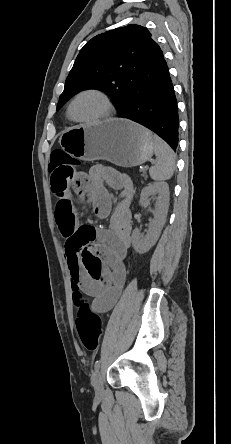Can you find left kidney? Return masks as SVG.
<instances>
[{
    "instance_id": "left-kidney-1",
    "label": "left kidney",
    "mask_w": 231,
    "mask_h": 444,
    "mask_svg": "<svg viewBox=\"0 0 231 444\" xmlns=\"http://www.w3.org/2000/svg\"><path fill=\"white\" fill-rule=\"evenodd\" d=\"M156 194L158 197L154 219L149 224L147 234L141 235L138 229L132 232V245L139 254L146 253L155 245L166 221L169 205V185L166 182L151 183L143 188L140 194V204L145 203L151 195Z\"/></svg>"
}]
</instances>
